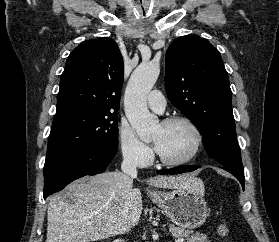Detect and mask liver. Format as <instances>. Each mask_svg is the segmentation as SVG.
<instances>
[{
  "mask_svg": "<svg viewBox=\"0 0 279 242\" xmlns=\"http://www.w3.org/2000/svg\"><path fill=\"white\" fill-rule=\"evenodd\" d=\"M146 182L157 188L203 191L202 181L190 176L158 175ZM132 183L118 171L71 183L65 196L50 198L46 242L98 241L129 231L138 224L143 209L141 192L132 189Z\"/></svg>",
  "mask_w": 279,
  "mask_h": 242,
  "instance_id": "obj_1",
  "label": "liver"
}]
</instances>
